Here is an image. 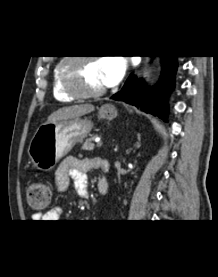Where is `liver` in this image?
Segmentation results:
<instances>
[{"mask_svg": "<svg viewBox=\"0 0 218 277\" xmlns=\"http://www.w3.org/2000/svg\"><path fill=\"white\" fill-rule=\"evenodd\" d=\"M95 107L92 104H82L67 106L58 109L48 117V122L63 121L81 117L94 111Z\"/></svg>", "mask_w": 218, "mask_h": 277, "instance_id": "1", "label": "liver"}]
</instances>
